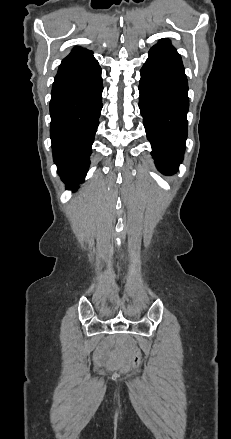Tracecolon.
<instances>
[{
    "instance_id": "obj_1",
    "label": "colon",
    "mask_w": 231,
    "mask_h": 439,
    "mask_svg": "<svg viewBox=\"0 0 231 439\" xmlns=\"http://www.w3.org/2000/svg\"><path fill=\"white\" fill-rule=\"evenodd\" d=\"M131 360L133 367L138 368L141 364V352L136 345L131 346Z\"/></svg>"
}]
</instances>
